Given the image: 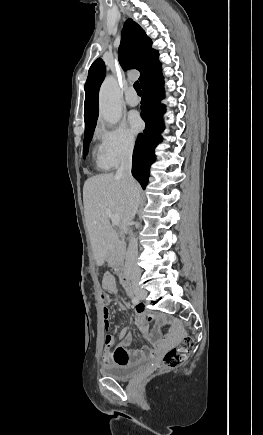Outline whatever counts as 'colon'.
Returning <instances> with one entry per match:
<instances>
[{"mask_svg": "<svg viewBox=\"0 0 263 435\" xmlns=\"http://www.w3.org/2000/svg\"><path fill=\"white\" fill-rule=\"evenodd\" d=\"M106 299V294H101V300ZM115 336L112 333H106L103 336L104 350H113L115 343ZM193 348V339L190 336H184L177 347L168 350L162 360L160 366L161 371L173 369L178 367L186 361L188 355Z\"/></svg>", "mask_w": 263, "mask_h": 435, "instance_id": "obj_1", "label": "colon"}]
</instances>
